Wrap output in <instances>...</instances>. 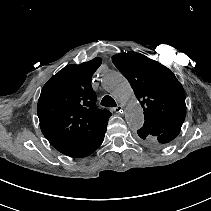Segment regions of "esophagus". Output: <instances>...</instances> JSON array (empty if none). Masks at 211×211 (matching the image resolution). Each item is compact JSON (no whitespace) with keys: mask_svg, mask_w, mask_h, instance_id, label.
Returning a JSON list of instances; mask_svg holds the SVG:
<instances>
[{"mask_svg":"<svg viewBox=\"0 0 211 211\" xmlns=\"http://www.w3.org/2000/svg\"><path fill=\"white\" fill-rule=\"evenodd\" d=\"M113 111L115 113H121L123 111V107L119 105V106L113 108Z\"/></svg>","mask_w":211,"mask_h":211,"instance_id":"1","label":"esophagus"}]
</instances>
